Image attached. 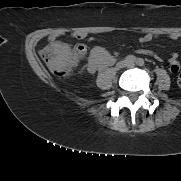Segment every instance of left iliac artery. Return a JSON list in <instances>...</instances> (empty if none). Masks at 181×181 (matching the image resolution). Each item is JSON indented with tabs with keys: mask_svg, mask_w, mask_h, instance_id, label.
<instances>
[{
	"mask_svg": "<svg viewBox=\"0 0 181 181\" xmlns=\"http://www.w3.org/2000/svg\"><path fill=\"white\" fill-rule=\"evenodd\" d=\"M137 64L139 65V66H143L144 65V60L143 59H138L137 60Z\"/></svg>",
	"mask_w": 181,
	"mask_h": 181,
	"instance_id": "obj_1",
	"label": "left iliac artery"
}]
</instances>
